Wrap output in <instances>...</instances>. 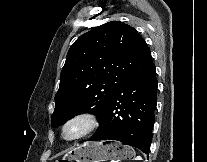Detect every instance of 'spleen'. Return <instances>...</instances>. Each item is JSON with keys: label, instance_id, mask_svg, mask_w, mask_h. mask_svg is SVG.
Returning <instances> with one entry per match:
<instances>
[{"label": "spleen", "instance_id": "obj_1", "mask_svg": "<svg viewBox=\"0 0 207 162\" xmlns=\"http://www.w3.org/2000/svg\"><path fill=\"white\" fill-rule=\"evenodd\" d=\"M135 160H142V158H141L140 156H137V157L135 158Z\"/></svg>", "mask_w": 207, "mask_h": 162}]
</instances>
